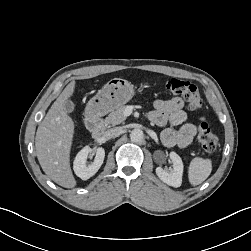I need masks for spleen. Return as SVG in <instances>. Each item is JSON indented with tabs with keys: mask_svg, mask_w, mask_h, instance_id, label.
<instances>
[{
	"mask_svg": "<svg viewBox=\"0 0 251 251\" xmlns=\"http://www.w3.org/2000/svg\"><path fill=\"white\" fill-rule=\"evenodd\" d=\"M212 171V163L209 159L194 158L189 166L188 178L189 182L195 186L206 180Z\"/></svg>",
	"mask_w": 251,
	"mask_h": 251,
	"instance_id": "1",
	"label": "spleen"
}]
</instances>
